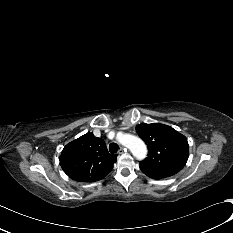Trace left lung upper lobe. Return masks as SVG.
Returning a JSON list of instances; mask_svg holds the SVG:
<instances>
[{"instance_id": "5c2ea615", "label": "left lung upper lobe", "mask_w": 233, "mask_h": 233, "mask_svg": "<svg viewBox=\"0 0 233 233\" xmlns=\"http://www.w3.org/2000/svg\"><path fill=\"white\" fill-rule=\"evenodd\" d=\"M136 131L148 148V157L140 162L141 171L152 179L170 177L186 164L189 146L185 136L170 126L142 123Z\"/></svg>"}]
</instances>
